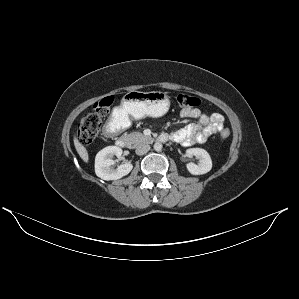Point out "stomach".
<instances>
[{"mask_svg":"<svg viewBox=\"0 0 299 299\" xmlns=\"http://www.w3.org/2000/svg\"><path fill=\"white\" fill-rule=\"evenodd\" d=\"M170 101L166 92L130 91L121 100V112L125 117L141 119L146 116L161 117L169 110Z\"/></svg>","mask_w":299,"mask_h":299,"instance_id":"stomach-1","label":"stomach"}]
</instances>
